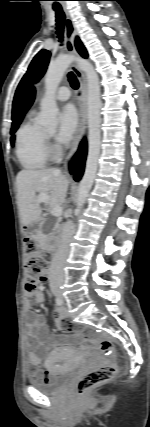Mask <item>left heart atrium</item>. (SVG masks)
I'll list each match as a JSON object with an SVG mask.
<instances>
[{
	"label": "left heart atrium",
	"mask_w": 150,
	"mask_h": 427,
	"mask_svg": "<svg viewBox=\"0 0 150 427\" xmlns=\"http://www.w3.org/2000/svg\"><path fill=\"white\" fill-rule=\"evenodd\" d=\"M79 124L78 114L71 105L64 107L60 114V126L57 133V141L60 144L69 143L76 134Z\"/></svg>",
	"instance_id": "1"
}]
</instances>
